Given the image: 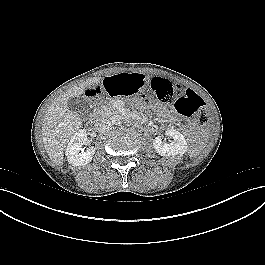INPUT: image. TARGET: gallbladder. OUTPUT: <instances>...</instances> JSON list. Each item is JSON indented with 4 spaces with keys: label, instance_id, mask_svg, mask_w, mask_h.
I'll use <instances>...</instances> for the list:
<instances>
[{
    "label": "gallbladder",
    "instance_id": "bac80fb5",
    "mask_svg": "<svg viewBox=\"0 0 265 265\" xmlns=\"http://www.w3.org/2000/svg\"><path fill=\"white\" fill-rule=\"evenodd\" d=\"M70 110L76 112L82 120H87L90 116L89 102L83 97H72L68 100Z\"/></svg>",
    "mask_w": 265,
    "mask_h": 265
}]
</instances>
